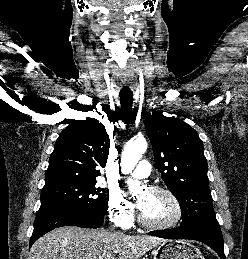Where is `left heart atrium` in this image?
I'll list each match as a JSON object with an SVG mask.
<instances>
[{"mask_svg":"<svg viewBox=\"0 0 248 259\" xmlns=\"http://www.w3.org/2000/svg\"><path fill=\"white\" fill-rule=\"evenodd\" d=\"M138 207L141 209V202H139Z\"/></svg>","mask_w":248,"mask_h":259,"instance_id":"obj_1","label":"left heart atrium"}]
</instances>
